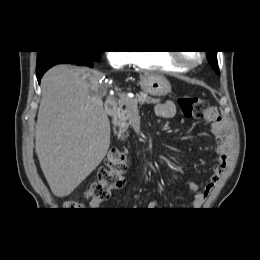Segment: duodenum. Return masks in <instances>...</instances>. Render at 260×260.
<instances>
[{"label": "duodenum", "mask_w": 260, "mask_h": 260, "mask_svg": "<svg viewBox=\"0 0 260 260\" xmlns=\"http://www.w3.org/2000/svg\"><path fill=\"white\" fill-rule=\"evenodd\" d=\"M106 112L109 116H115L117 113V109L114 103L107 102L105 105Z\"/></svg>", "instance_id": "duodenum-1"}]
</instances>
